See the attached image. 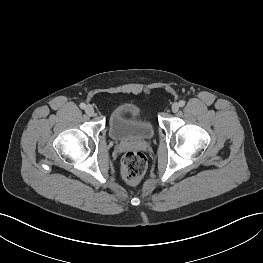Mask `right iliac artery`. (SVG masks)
<instances>
[{
	"mask_svg": "<svg viewBox=\"0 0 263 263\" xmlns=\"http://www.w3.org/2000/svg\"><path fill=\"white\" fill-rule=\"evenodd\" d=\"M80 108H81V109H85V108H86V104H85V103H81V104H80Z\"/></svg>",
	"mask_w": 263,
	"mask_h": 263,
	"instance_id": "right-iliac-artery-1",
	"label": "right iliac artery"
}]
</instances>
